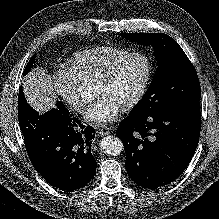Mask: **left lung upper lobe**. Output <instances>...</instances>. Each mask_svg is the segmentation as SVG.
I'll return each mask as SVG.
<instances>
[{
    "label": "left lung upper lobe",
    "mask_w": 219,
    "mask_h": 219,
    "mask_svg": "<svg viewBox=\"0 0 219 219\" xmlns=\"http://www.w3.org/2000/svg\"><path fill=\"white\" fill-rule=\"evenodd\" d=\"M132 42L154 47L158 68L143 98L129 116H154L200 101L197 72L177 42L164 33H121Z\"/></svg>",
    "instance_id": "left-lung-upper-lobe-1"
}]
</instances>
